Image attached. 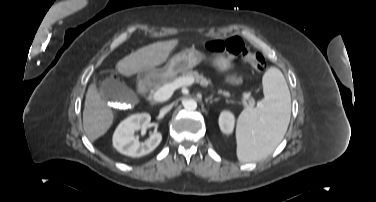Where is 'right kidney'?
Here are the masks:
<instances>
[{
    "instance_id": "obj_1",
    "label": "right kidney",
    "mask_w": 376,
    "mask_h": 202,
    "mask_svg": "<svg viewBox=\"0 0 376 202\" xmlns=\"http://www.w3.org/2000/svg\"><path fill=\"white\" fill-rule=\"evenodd\" d=\"M151 116L148 113L133 114L124 119L113 134V146L117 151L131 157H141L151 153L161 142L159 132H151L149 138L140 143L134 132L148 127Z\"/></svg>"
}]
</instances>
